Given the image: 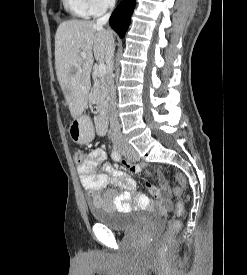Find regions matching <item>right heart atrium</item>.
<instances>
[{
  "mask_svg": "<svg viewBox=\"0 0 247 275\" xmlns=\"http://www.w3.org/2000/svg\"><path fill=\"white\" fill-rule=\"evenodd\" d=\"M92 16L100 15L114 7L116 0H86Z\"/></svg>",
  "mask_w": 247,
  "mask_h": 275,
  "instance_id": "obj_1",
  "label": "right heart atrium"
}]
</instances>
